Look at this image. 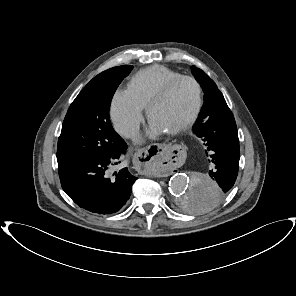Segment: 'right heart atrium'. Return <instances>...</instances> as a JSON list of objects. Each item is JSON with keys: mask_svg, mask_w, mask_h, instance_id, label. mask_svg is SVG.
Returning <instances> with one entry per match:
<instances>
[{"mask_svg": "<svg viewBox=\"0 0 296 296\" xmlns=\"http://www.w3.org/2000/svg\"><path fill=\"white\" fill-rule=\"evenodd\" d=\"M110 117L116 130L130 138L137 133L143 121V107L127 90H117L111 99Z\"/></svg>", "mask_w": 296, "mask_h": 296, "instance_id": "right-heart-atrium-1", "label": "right heart atrium"}]
</instances>
